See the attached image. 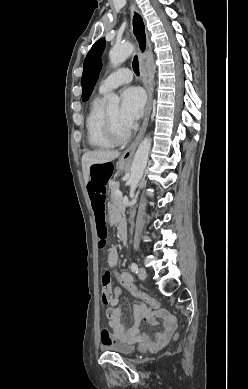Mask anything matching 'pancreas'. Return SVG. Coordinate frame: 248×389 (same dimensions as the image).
Listing matches in <instances>:
<instances>
[{"label": "pancreas", "mask_w": 248, "mask_h": 389, "mask_svg": "<svg viewBox=\"0 0 248 389\" xmlns=\"http://www.w3.org/2000/svg\"><path fill=\"white\" fill-rule=\"evenodd\" d=\"M110 190H111L110 198H111L112 203L114 204V206L118 210H123L124 205L122 203V196H119L116 194V191L119 190V183L118 182H111L110 183Z\"/></svg>", "instance_id": "cf45deb5"}]
</instances>
